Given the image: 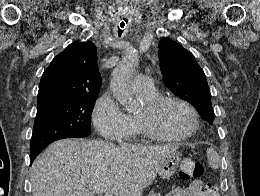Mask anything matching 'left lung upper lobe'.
<instances>
[{
  "label": "left lung upper lobe",
  "instance_id": "left-lung-upper-lobe-1",
  "mask_svg": "<svg viewBox=\"0 0 260 196\" xmlns=\"http://www.w3.org/2000/svg\"><path fill=\"white\" fill-rule=\"evenodd\" d=\"M159 47L164 84L176 96L191 103L202 119L212 124L211 94L206 76L195 58L179 43L167 38L160 40Z\"/></svg>",
  "mask_w": 260,
  "mask_h": 196
}]
</instances>
